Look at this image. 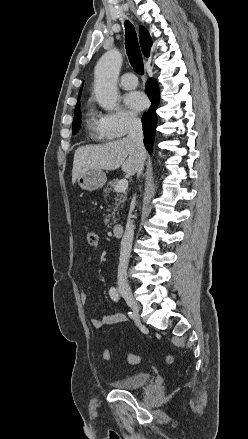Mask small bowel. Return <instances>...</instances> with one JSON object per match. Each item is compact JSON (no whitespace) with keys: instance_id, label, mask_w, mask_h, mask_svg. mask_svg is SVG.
Listing matches in <instances>:
<instances>
[{"instance_id":"c3829d8e","label":"small bowel","mask_w":248,"mask_h":439,"mask_svg":"<svg viewBox=\"0 0 248 439\" xmlns=\"http://www.w3.org/2000/svg\"><path fill=\"white\" fill-rule=\"evenodd\" d=\"M92 261V257H89L87 260V263L89 264ZM80 298L83 302L86 301L87 299V295L84 292V290H81L80 293ZM126 320V316L122 313H113V314H108V315H103L102 317L99 318H92L91 319V325L94 328H101L104 326H111L117 323H121L124 322Z\"/></svg>"}]
</instances>
